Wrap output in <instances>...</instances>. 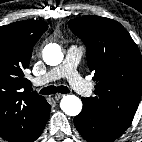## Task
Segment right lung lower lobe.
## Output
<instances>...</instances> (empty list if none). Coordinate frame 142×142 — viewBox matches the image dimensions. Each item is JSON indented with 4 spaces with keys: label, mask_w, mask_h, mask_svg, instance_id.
Returning a JSON list of instances; mask_svg holds the SVG:
<instances>
[{
    "label": "right lung lower lobe",
    "mask_w": 142,
    "mask_h": 142,
    "mask_svg": "<svg viewBox=\"0 0 142 142\" xmlns=\"http://www.w3.org/2000/svg\"><path fill=\"white\" fill-rule=\"evenodd\" d=\"M49 114H50V107L48 108L47 114L45 115L44 119L41 121V123L39 124V126L37 127L36 131L34 132V134L26 141V142H33L34 140H36L42 133L47 120L49 118Z\"/></svg>",
    "instance_id": "right-lung-lower-lobe-1"
}]
</instances>
